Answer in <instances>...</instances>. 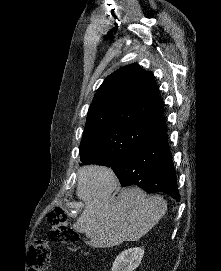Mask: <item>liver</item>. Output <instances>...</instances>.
Listing matches in <instances>:
<instances>
[{"label":"liver","mask_w":221,"mask_h":271,"mask_svg":"<svg viewBox=\"0 0 221 271\" xmlns=\"http://www.w3.org/2000/svg\"><path fill=\"white\" fill-rule=\"evenodd\" d=\"M118 185L110 167L84 165L77 171L76 195L84 201V209L73 227L89 237L86 243L92 247L137 241L166 213L162 195H146L136 185L111 197Z\"/></svg>","instance_id":"6515ba94"}]
</instances>
